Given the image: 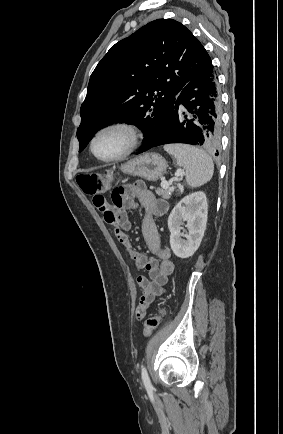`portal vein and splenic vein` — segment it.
Masks as SVG:
<instances>
[{
    "instance_id": "obj_1",
    "label": "portal vein and splenic vein",
    "mask_w": 283,
    "mask_h": 434,
    "mask_svg": "<svg viewBox=\"0 0 283 434\" xmlns=\"http://www.w3.org/2000/svg\"><path fill=\"white\" fill-rule=\"evenodd\" d=\"M180 175H181V172H177V173L175 174V178H174V179H177V177L180 176ZM161 186H162L163 188L168 187V186H169V182L163 180V181L161 182Z\"/></svg>"
}]
</instances>
